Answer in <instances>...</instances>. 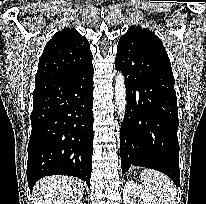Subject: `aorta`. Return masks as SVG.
<instances>
[{"label": "aorta", "instance_id": "762f6f07", "mask_svg": "<svg viewBox=\"0 0 206 204\" xmlns=\"http://www.w3.org/2000/svg\"><path fill=\"white\" fill-rule=\"evenodd\" d=\"M115 90V103L117 108L118 119L120 122L124 121L125 111H126V87L125 78L122 72H118L116 75V83L114 86Z\"/></svg>", "mask_w": 206, "mask_h": 204}]
</instances>
